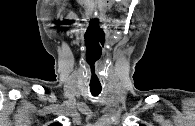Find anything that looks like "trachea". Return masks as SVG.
Listing matches in <instances>:
<instances>
[{
	"mask_svg": "<svg viewBox=\"0 0 195 126\" xmlns=\"http://www.w3.org/2000/svg\"><path fill=\"white\" fill-rule=\"evenodd\" d=\"M90 91H91V94L93 96H98L101 92V88L100 87H90Z\"/></svg>",
	"mask_w": 195,
	"mask_h": 126,
	"instance_id": "trachea-1",
	"label": "trachea"
}]
</instances>
